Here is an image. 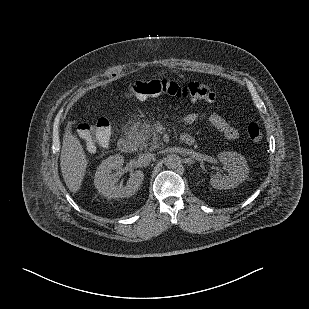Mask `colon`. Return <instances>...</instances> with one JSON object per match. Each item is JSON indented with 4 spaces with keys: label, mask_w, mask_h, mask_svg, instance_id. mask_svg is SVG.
<instances>
[{
    "label": "colon",
    "mask_w": 309,
    "mask_h": 309,
    "mask_svg": "<svg viewBox=\"0 0 309 309\" xmlns=\"http://www.w3.org/2000/svg\"><path fill=\"white\" fill-rule=\"evenodd\" d=\"M127 93L139 100L157 97L162 94L193 102L203 101L211 103L215 99L214 91L206 84L191 82L186 85H180L165 79L131 82L127 87ZM111 133V123L106 117L96 118L78 128V134L84 141L88 151H93L96 145H106L110 140ZM247 134L250 140L254 142L262 140V132L256 123H250L247 126Z\"/></svg>",
    "instance_id": "obj_1"
}]
</instances>
